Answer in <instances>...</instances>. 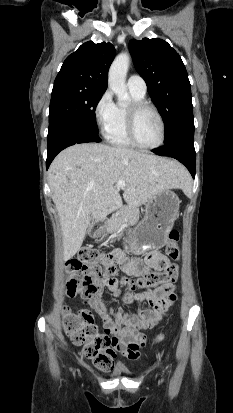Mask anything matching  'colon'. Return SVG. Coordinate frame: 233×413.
<instances>
[{
  "label": "colon",
  "instance_id": "colon-1",
  "mask_svg": "<svg viewBox=\"0 0 233 413\" xmlns=\"http://www.w3.org/2000/svg\"><path fill=\"white\" fill-rule=\"evenodd\" d=\"M179 239V231L172 229L169 233L166 254L174 261L180 258ZM115 262L116 259L112 255L106 256L92 248L82 249L76 258L67 262V294L70 296L80 294L85 298H91L97 293L102 280L120 281L132 289L155 288L173 282L178 274V265L169 263L160 271H148L136 280L125 277L119 279ZM64 331L75 344L83 346L84 354L93 359L98 367L104 370L111 367L115 356L110 348L111 339L98 332L90 311L81 310L77 313L66 311ZM163 339L164 335L159 334L154 339V343Z\"/></svg>",
  "mask_w": 233,
  "mask_h": 413
}]
</instances>
